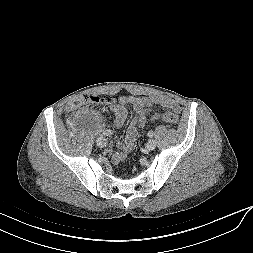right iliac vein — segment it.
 Wrapping results in <instances>:
<instances>
[{
	"instance_id": "63e3f726",
	"label": "right iliac vein",
	"mask_w": 253,
	"mask_h": 253,
	"mask_svg": "<svg viewBox=\"0 0 253 253\" xmlns=\"http://www.w3.org/2000/svg\"><path fill=\"white\" fill-rule=\"evenodd\" d=\"M96 144H97L99 147L103 148V147L106 146L107 142H106V140H105L104 138L99 137V138H97V140H96Z\"/></svg>"
}]
</instances>
